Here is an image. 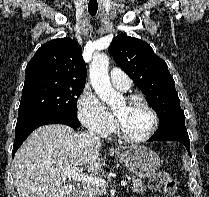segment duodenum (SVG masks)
I'll return each mask as SVG.
<instances>
[{
	"instance_id": "410a0bca",
	"label": "duodenum",
	"mask_w": 209,
	"mask_h": 197,
	"mask_svg": "<svg viewBox=\"0 0 209 197\" xmlns=\"http://www.w3.org/2000/svg\"><path fill=\"white\" fill-rule=\"evenodd\" d=\"M70 197H81V191L75 190Z\"/></svg>"
}]
</instances>
